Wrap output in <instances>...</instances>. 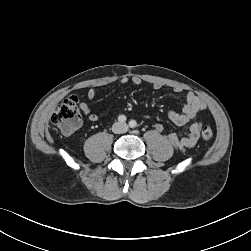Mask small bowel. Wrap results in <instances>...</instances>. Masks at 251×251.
Returning a JSON list of instances; mask_svg holds the SVG:
<instances>
[{
    "label": "small bowel",
    "instance_id": "obj_1",
    "mask_svg": "<svg viewBox=\"0 0 251 251\" xmlns=\"http://www.w3.org/2000/svg\"><path fill=\"white\" fill-rule=\"evenodd\" d=\"M120 84L140 86L142 84V80L138 76H125L120 79ZM161 87L162 86L158 83L153 85L155 90H159ZM174 91L180 93L182 92V89L176 87L174 88ZM96 94L97 90L95 88H90L87 92V98L89 100H93L96 97ZM79 107L90 121L98 122L100 120V116L97 113L92 112L87 103L81 102ZM181 108L182 113L170 110L167 113V116L175 125L186 128V133L183 137H179L177 134L171 133L168 135V141L176 150L186 151L194 147L199 139L200 130L202 128L200 114L205 110L206 105L197 95L192 92H187L182 102ZM155 128L159 132H162L164 129L163 125L161 124H156Z\"/></svg>",
    "mask_w": 251,
    "mask_h": 251
}]
</instances>
